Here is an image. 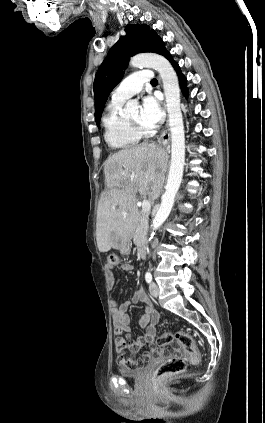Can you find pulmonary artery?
Listing matches in <instances>:
<instances>
[{
	"mask_svg": "<svg viewBox=\"0 0 265 423\" xmlns=\"http://www.w3.org/2000/svg\"><path fill=\"white\" fill-rule=\"evenodd\" d=\"M152 80L150 70H139L127 77L113 92L112 99L125 101L136 95L143 87L144 83Z\"/></svg>",
	"mask_w": 265,
	"mask_h": 423,
	"instance_id": "e3ab8cb5",
	"label": "pulmonary artery"
}]
</instances>
